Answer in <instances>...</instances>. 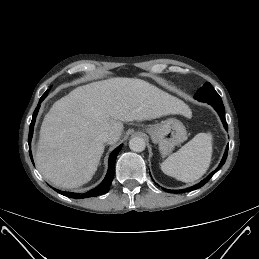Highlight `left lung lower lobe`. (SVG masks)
Here are the masks:
<instances>
[{
  "instance_id": "0a47b994",
  "label": "left lung lower lobe",
  "mask_w": 259,
  "mask_h": 259,
  "mask_svg": "<svg viewBox=\"0 0 259 259\" xmlns=\"http://www.w3.org/2000/svg\"><path fill=\"white\" fill-rule=\"evenodd\" d=\"M209 103L210 105H212L214 107V109L218 112V114L220 115V118L221 120L223 121V124H224V127L226 128V130H228V126H227V123H226V120H225V108H224V105L222 103V101H219V102H215V101H212V102H207ZM227 154H228V146L225 150V153H224V156L221 160V163L220 165L218 166V168L213 171L211 174H209L204 180H202L200 183H198L197 185L193 186V187H190V188H187L185 189V191H191V190H194V189H198L200 188L201 186H203L205 183H207L209 181V179L218 171V169L225 163L226 161V158H227ZM168 192H171V193H179V192H184V190H166Z\"/></svg>"
}]
</instances>
